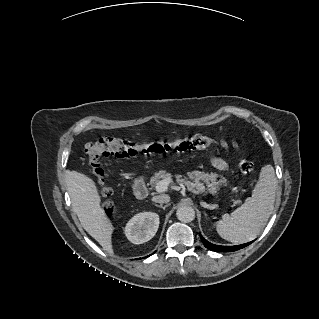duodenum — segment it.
<instances>
[{
  "instance_id": "1",
  "label": "duodenum",
  "mask_w": 319,
  "mask_h": 319,
  "mask_svg": "<svg viewBox=\"0 0 319 319\" xmlns=\"http://www.w3.org/2000/svg\"><path fill=\"white\" fill-rule=\"evenodd\" d=\"M133 191L135 197L139 200L148 196V187L143 182L135 184Z\"/></svg>"
}]
</instances>
